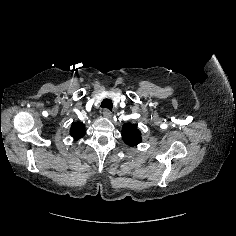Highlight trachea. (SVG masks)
Wrapping results in <instances>:
<instances>
[{"mask_svg": "<svg viewBox=\"0 0 236 236\" xmlns=\"http://www.w3.org/2000/svg\"><path fill=\"white\" fill-rule=\"evenodd\" d=\"M101 107L112 110L113 103L110 99L106 98L101 102Z\"/></svg>", "mask_w": 236, "mask_h": 236, "instance_id": "trachea-1", "label": "trachea"}]
</instances>
